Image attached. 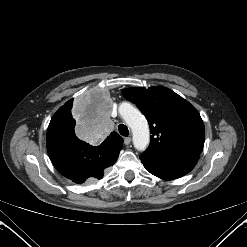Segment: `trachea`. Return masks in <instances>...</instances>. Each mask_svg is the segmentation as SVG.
Masks as SVG:
<instances>
[{
	"label": "trachea",
	"instance_id": "obj_1",
	"mask_svg": "<svg viewBox=\"0 0 247 247\" xmlns=\"http://www.w3.org/2000/svg\"><path fill=\"white\" fill-rule=\"evenodd\" d=\"M118 129H119V133H120L122 136L127 137V136L129 135V130H128V128H127L126 125L120 124V125L118 126Z\"/></svg>",
	"mask_w": 247,
	"mask_h": 247
}]
</instances>
